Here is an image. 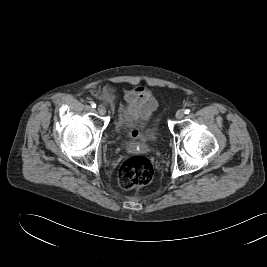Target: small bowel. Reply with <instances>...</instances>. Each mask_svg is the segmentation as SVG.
<instances>
[{"label":"small bowel","instance_id":"obj_1","mask_svg":"<svg viewBox=\"0 0 267 267\" xmlns=\"http://www.w3.org/2000/svg\"><path fill=\"white\" fill-rule=\"evenodd\" d=\"M114 87L106 88L102 96L108 101L113 100ZM124 107L121 110V121L125 124L139 123L146 125L151 114L158 107L156 98L151 91L144 86H137L124 94Z\"/></svg>","mask_w":267,"mask_h":267}]
</instances>
